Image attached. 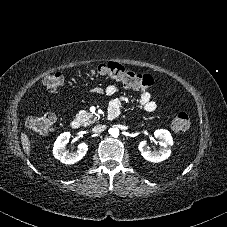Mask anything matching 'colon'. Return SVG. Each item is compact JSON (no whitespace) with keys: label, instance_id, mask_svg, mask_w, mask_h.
Here are the masks:
<instances>
[{"label":"colon","instance_id":"5ec220e1","mask_svg":"<svg viewBox=\"0 0 227 227\" xmlns=\"http://www.w3.org/2000/svg\"><path fill=\"white\" fill-rule=\"evenodd\" d=\"M93 74L108 76L121 82L125 87L144 91L153 83L149 74H141L132 69L126 68L116 62L99 64L90 70ZM64 83V75L60 72L52 73L43 80V85L49 91L58 90ZM56 122L53 113L43 115H31L27 118V126L35 133L44 134L51 131ZM191 121L188 114L181 112L175 116L172 128L176 132H185L190 128Z\"/></svg>","mask_w":227,"mask_h":227}]
</instances>
